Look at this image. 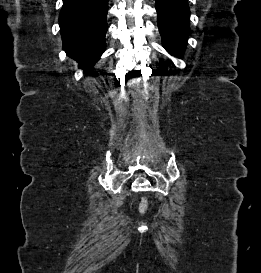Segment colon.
Returning a JSON list of instances; mask_svg holds the SVG:
<instances>
[{
	"mask_svg": "<svg viewBox=\"0 0 261 273\" xmlns=\"http://www.w3.org/2000/svg\"><path fill=\"white\" fill-rule=\"evenodd\" d=\"M148 210V202L146 199H143L139 204V212L144 214Z\"/></svg>",
	"mask_w": 261,
	"mask_h": 273,
	"instance_id": "obj_1",
	"label": "colon"
}]
</instances>
